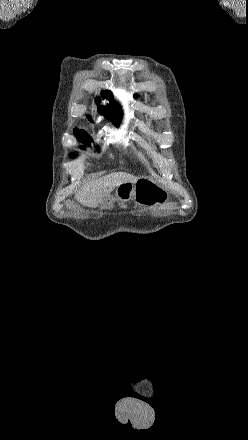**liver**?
Wrapping results in <instances>:
<instances>
[{
	"mask_svg": "<svg viewBox=\"0 0 248 440\" xmlns=\"http://www.w3.org/2000/svg\"><path fill=\"white\" fill-rule=\"evenodd\" d=\"M137 180V177L125 172L111 173L86 183L77 191L75 198L84 206L94 208L110 197V193L119 185L135 183Z\"/></svg>",
	"mask_w": 248,
	"mask_h": 440,
	"instance_id": "6515ba94",
	"label": "liver"
}]
</instances>
